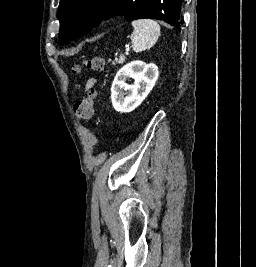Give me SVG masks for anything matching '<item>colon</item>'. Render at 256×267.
Listing matches in <instances>:
<instances>
[{"mask_svg": "<svg viewBox=\"0 0 256 267\" xmlns=\"http://www.w3.org/2000/svg\"><path fill=\"white\" fill-rule=\"evenodd\" d=\"M84 66L90 72H99L104 67V60L100 57H89L85 60ZM80 71L81 67L79 65L72 66V74L78 75ZM97 99V89L91 88L84 98L74 102L72 110L78 121L84 123L92 119Z\"/></svg>", "mask_w": 256, "mask_h": 267, "instance_id": "obj_1", "label": "colon"}]
</instances>
